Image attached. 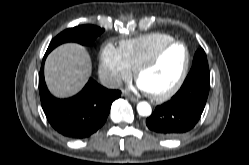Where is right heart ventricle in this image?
<instances>
[{"label": "right heart ventricle", "mask_w": 249, "mask_h": 165, "mask_svg": "<svg viewBox=\"0 0 249 165\" xmlns=\"http://www.w3.org/2000/svg\"><path fill=\"white\" fill-rule=\"evenodd\" d=\"M174 40L173 36L152 32L120 42L119 50L131 70L153 55L162 45Z\"/></svg>", "instance_id": "e07e8e85"}]
</instances>
